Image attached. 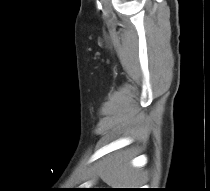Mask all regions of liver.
Instances as JSON below:
<instances>
[{
  "label": "liver",
  "instance_id": "obj_1",
  "mask_svg": "<svg viewBox=\"0 0 210 191\" xmlns=\"http://www.w3.org/2000/svg\"><path fill=\"white\" fill-rule=\"evenodd\" d=\"M131 158L132 156L128 152H118L108 156L99 167L98 173L102 180L109 186L137 185L140 174L130 165Z\"/></svg>",
  "mask_w": 210,
  "mask_h": 191
}]
</instances>
